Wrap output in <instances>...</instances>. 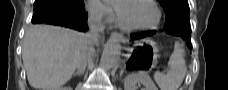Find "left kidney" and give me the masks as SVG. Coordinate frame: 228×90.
<instances>
[{"instance_id": "5707ae66", "label": "left kidney", "mask_w": 228, "mask_h": 90, "mask_svg": "<svg viewBox=\"0 0 228 90\" xmlns=\"http://www.w3.org/2000/svg\"><path fill=\"white\" fill-rule=\"evenodd\" d=\"M141 83L145 90H158L149 78L145 74H130L124 80V90H136V85Z\"/></svg>"}]
</instances>
